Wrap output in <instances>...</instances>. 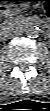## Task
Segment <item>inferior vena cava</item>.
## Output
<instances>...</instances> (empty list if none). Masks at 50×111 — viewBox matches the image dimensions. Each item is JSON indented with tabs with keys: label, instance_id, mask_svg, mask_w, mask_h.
Returning a JSON list of instances; mask_svg holds the SVG:
<instances>
[{
	"label": "inferior vena cava",
	"instance_id": "obj_1",
	"mask_svg": "<svg viewBox=\"0 0 50 111\" xmlns=\"http://www.w3.org/2000/svg\"><path fill=\"white\" fill-rule=\"evenodd\" d=\"M18 35H21V32L19 31H13L11 33L8 34V37L12 38L14 36H18Z\"/></svg>",
	"mask_w": 50,
	"mask_h": 111
}]
</instances>
